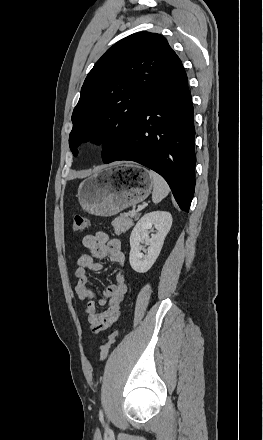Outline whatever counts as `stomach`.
I'll return each instance as SVG.
<instances>
[{"mask_svg":"<svg viewBox=\"0 0 263 440\" xmlns=\"http://www.w3.org/2000/svg\"><path fill=\"white\" fill-rule=\"evenodd\" d=\"M152 187V178L147 169L134 165L114 166L102 169L82 181L77 197L81 207L88 213L109 217L144 201Z\"/></svg>","mask_w":263,"mask_h":440,"instance_id":"stomach-1","label":"stomach"}]
</instances>
